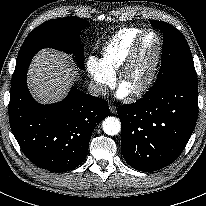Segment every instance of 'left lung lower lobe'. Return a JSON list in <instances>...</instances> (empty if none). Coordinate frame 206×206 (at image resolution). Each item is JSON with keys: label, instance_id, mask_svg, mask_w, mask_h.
Here are the masks:
<instances>
[{"label": "left lung lower lobe", "instance_id": "left-lung-lower-lobe-1", "mask_svg": "<svg viewBox=\"0 0 206 206\" xmlns=\"http://www.w3.org/2000/svg\"><path fill=\"white\" fill-rule=\"evenodd\" d=\"M198 86L176 81L147 92L118 109L122 124L121 149L126 162L153 172L174 162L190 139L198 116Z\"/></svg>", "mask_w": 206, "mask_h": 206}]
</instances>
